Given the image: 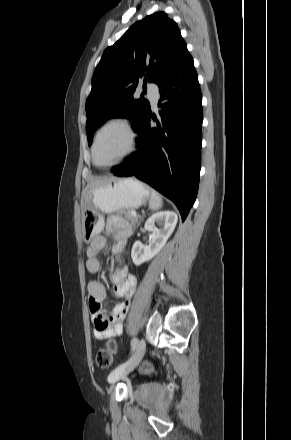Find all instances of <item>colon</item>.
Listing matches in <instances>:
<instances>
[{"label":"colon","instance_id":"obj_1","mask_svg":"<svg viewBox=\"0 0 291 440\" xmlns=\"http://www.w3.org/2000/svg\"><path fill=\"white\" fill-rule=\"evenodd\" d=\"M118 352V344L115 341L108 343V349H99L96 354V362L100 368H107L112 364V355Z\"/></svg>","mask_w":291,"mask_h":440}]
</instances>
